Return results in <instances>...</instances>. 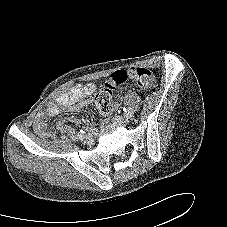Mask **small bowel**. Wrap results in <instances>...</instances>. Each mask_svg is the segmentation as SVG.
Segmentation results:
<instances>
[{"label": "small bowel", "instance_id": "1", "mask_svg": "<svg viewBox=\"0 0 227 227\" xmlns=\"http://www.w3.org/2000/svg\"><path fill=\"white\" fill-rule=\"evenodd\" d=\"M95 85L92 83L75 85L70 91L60 94L53 102H50L42 111H40L34 121V129L40 136L50 135L47 128V120L49 117L58 115L62 109L67 108L70 112L80 111L88 102V97L95 91ZM117 108L116 104H112L109 111ZM70 121L76 122L70 118ZM64 121H58L55 125L57 130L61 129Z\"/></svg>", "mask_w": 227, "mask_h": 227}]
</instances>
